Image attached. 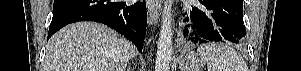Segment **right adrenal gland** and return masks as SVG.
Listing matches in <instances>:
<instances>
[{
    "label": "right adrenal gland",
    "instance_id": "right-adrenal-gland-1",
    "mask_svg": "<svg viewBox=\"0 0 301 71\" xmlns=\"http://www.w3.org/2000/svg\"><path fill=\"white\" fill-rule=\"evenodd\" d=\"M126 71H132V69L130 68V66L127 67Z\"/></svg>",
    "mask_w": 301,
    "mask_h": 71
}]
</instances>
